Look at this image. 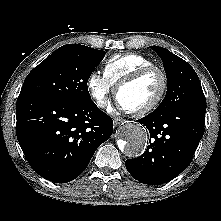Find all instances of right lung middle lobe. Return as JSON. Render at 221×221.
Wrapping results in <instances>:
<instances>
[{
  "instance_id": "1",
  "label": "right lung middle lobe",
  "mask_w": 221,
  "mask_h": 221,
  "mask_svg": "<svg viewBox=\"0 0 221 221\" xmlns=\"http://www.w3.org/2000/svg\"><path fill=\"white\" fill-rule=\"evenodd\" d=\"M104 55L105 51L84 45H63L28 74L20 95L70 103L90 102L87 81Z\"/></svg>"
}]
</instances>
